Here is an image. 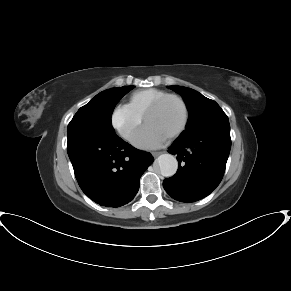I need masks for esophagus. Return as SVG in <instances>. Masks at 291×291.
<instances>
[{
  "mask_svg": "<svg viewBox=\"0 0 291 291\" xmlns=\"http://www.w3.org/2000/svg\"><path fill=\"white\" fill-rule=\"evenodd\" d=\"M160 154H162V152H153V153H152V155H153L154 157H157V156H159Z\"/></svg>",
  "mask_w": 291,
  "mask_h": 291,
  "instance_id": "obj_1",
  "label": "esophagus"
}]
</instances>
